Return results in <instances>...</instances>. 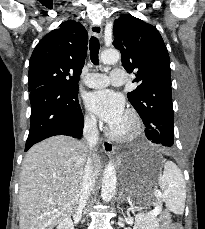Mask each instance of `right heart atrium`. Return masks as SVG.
Masks as SVG:
<instances>
[{
  "label": "right heart atrium",
  "mask_w": 205,
  "mask_h": 229,
  "mask_svg": "<svg viewBox=\"0 0 205 229\" xmlns=\"http://www.w3.org/2000/svg\"><path fill=\"white\" fill-rule=\"evenodd\" d=\"M95 118H94V116L92 115V114H90V113H86L85 115H84V123L87 125V126H90V127H92V126H94L95 125Z\"/></svg>",
  "instance_id": "d8ad5b80"
}]
</instances>
